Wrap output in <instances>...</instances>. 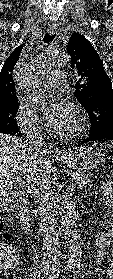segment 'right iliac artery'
I'll list each match as a JSON object with an SVG mask.
<instances>
[{
  "mask_svg": "<svg viewBox=\"0 0 113 279\" xmlns=\"http://www.w3.org/2000/svg\"><path fill=\"white\" fill-rule=\"evenodd\" d=\"M40 276V272L38 270L33 271L30 275L28 279H36Z\"/></svg>",
  "mask_w": 113,
  "mask_h": 279,
  "instance_id": "1",
  "label": "right iliac artery"
}]
</instances>
